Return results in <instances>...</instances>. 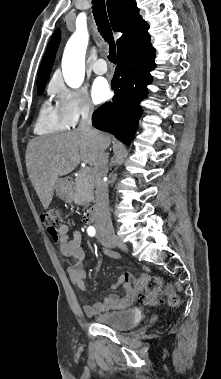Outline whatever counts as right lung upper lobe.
I'll return each mask as SVG.
<instances>
[{
    "label": "right lung upper lobe",
    "mask_w": 221,
    "mask_h": 379,
    "mask_svg": "<svg viewBox=\"0 0 221 379\" xmlns=\"http://www.w3.org/2000/svg\"><path fill=\"white\" fill-rule=\"evenodd\" d=\"M108 14L114 31L123 32L117 40L118 50L149 28L139 15L135 0H107ZM60 42V31L53 35L37 76V87L45 86Z\"/></svg>",
    "instance_id": "obj_1"
}]
</instances>
